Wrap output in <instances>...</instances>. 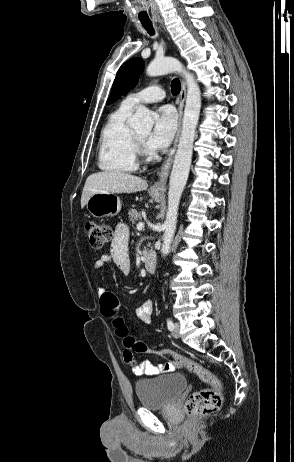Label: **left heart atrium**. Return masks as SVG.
<instances>
[{
  "label": "left heart atrium",
  "mask_w": 294,
  "mask_h": 462,
  "mask_svg": "<svg viewBox=\"0 0 294 462\" xmlns=\"http://www.w3.org/2000/svg\"><path fill=\"white\" fill-rule=\"evenodd\" d=\"M177 118L175 110L171 106H162L155 117L154 128L147 144L153 151L166 148L176 132Z\"/></svg>",
  "instance_id": "obj_1"
}]
</instances>
